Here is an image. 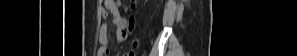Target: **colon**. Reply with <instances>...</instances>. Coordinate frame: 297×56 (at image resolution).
I'll use <instances>...</instances> for the list:
<instances>
[{
    "label": "colon",
    "mask_w": 297,
    "mask_h": 56,
    "mask_svg": "<svg viewBox=\"0 0 297 56\" xmlns=\"http://www.w3.org/2000/svg\"><path fill=\"white\" fill-rule=\"evenodd\" d=\"M133 46H136V42H134ZM127 55L128 56H134V52L133 51H130Z\"/></svg>",
    "instance_id": "obj_1"
}]
</instances>
